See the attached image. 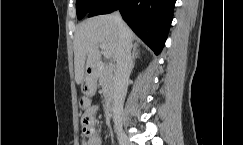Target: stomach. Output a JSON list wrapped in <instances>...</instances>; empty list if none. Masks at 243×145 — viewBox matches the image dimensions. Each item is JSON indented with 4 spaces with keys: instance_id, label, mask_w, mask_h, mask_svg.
<instances>
[{
    "instance_id": "obj_1",
    "label": "stomach",
    "mask_w": 243,
    "mask_h": 145,
    "mask_svg": "<svg viewBox=\"0 0 243 145\" xmlns=\"http://www.w3.org/2000/svg\"><path fill=\"white\" fill-rule=\"evenodd\" d=\"M95 89V80L93 78H86L82 83V91L85 95L91 94ZM82 106L86 105L85 101L81 102Z\"/></svg>"
}]
</instances>
